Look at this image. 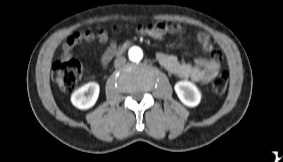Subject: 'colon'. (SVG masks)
Returning a JSON list of instances; mask_svg holds the SVG:
<instances>
[{"instance_id": "obj_1", "label": "colon", "mask_w": 283, "mask_h": 162, "mask_svg": "<svg viewBox=\"0 0 283 162\" xmlns=\"http://www.w3.org/2000/svg\"><path fill=\"white\" fill-rule=\"evenodd\" d=\"M82 74V65L76 59L62 60L54 64L53 78L64 90L73 89ZM228 86V73L221 72L212 82L215 93L223 94Z\"/></svg>"}]
</instances>
